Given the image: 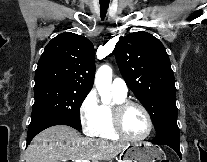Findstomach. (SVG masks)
<instances>
[{
	"mask_svg": "<svg viewBox=\"0 0 207 162\" xmlns=\"http://www.w3.org/2000/svg\"><path fill=\"white\" fill-rule=\"evenodd\" d=\"M165 157L163 150L151 143H134L122 151L120 162H155L156 160H166Z\"/></svg>",
	"mask_w": 207,
	"mask_h": 162,
	"instance_id": "obj_1",
	"label": "stomach"
}]
</instances>
